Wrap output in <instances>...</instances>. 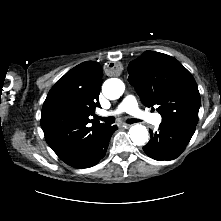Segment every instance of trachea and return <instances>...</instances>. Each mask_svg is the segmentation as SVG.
<instances>
[{
  "instance_id": "trachea-1",
  "label": "trachea",
  "mask_w": 221,
  "mask_h": 221,
  "mask_svg": "<svg viewBox=\"0 0 221 221\" xmlns=\"http://www.w3.org/2000/svg\"><path fill=\"white\" fill-rule=\"evenodd\" d=\"M97 119L102 120V121H104V122L107 123V124H112V123L115 122V118L112 117V116H109V117H106V118L97 117ZM127 122H128L129 124H132V123L140 122V120H138V119H129V120H127Z\"/></svg>"
}]
</instances>
